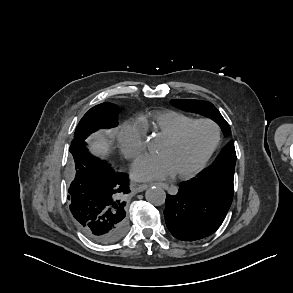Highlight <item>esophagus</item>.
Segmentation results:
<instances>
[{
  "label": "esophagus",
  "mask_w": 293,
  "mask_h": 293,
  "mask_svg": "<svg viewBox=\"0 0 293 293\" xmlns=\"http://www.w3.org/2000/svg\"><path fill=\"white\" fill-rule=\"evenodd\" d=\"M155 185L160 186V187H162L164 189H168V187H169L168 184H166V183H155ZM148 186L149 185H147V184H140V185L137 186L136 189H137L138 192H142L145 189H147Z\"/></svg>",
  "instance_id": "1"
}]
</instances>
